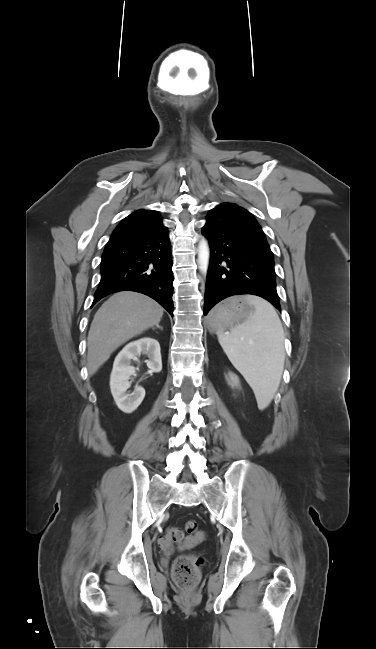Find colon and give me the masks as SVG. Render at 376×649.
<instances>
[{
	"instance_id": "obj_1",
	"label": "colon",
	"mask_w": 376,
	"mask_h": 649,
	"mask_svg": "<svg viewBox=\"0 0 376 649\" xmlns=\"http://www.w3.org/2000/svg\"><path fill=\"white\" fill-rule=\"evenodd\" d=\"M202 537L203 534L198 530L197 523L188 521L183 528H168L160 538V543L163 548L169 550L175 545L184 543L187 538L190 542H195ZM202 562V558L196 555L179 556L172 566V576L175 583L182 589H192L198 582Z\"/></svg>"
}]
</instances>
